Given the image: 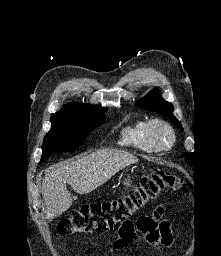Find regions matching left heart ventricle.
<instances>
[{
	"mask_svg": "<svg viewBox=\"0 0 221 256\" xmlns=\"http://www.w3.org/2000/svg\"><path fill=\"white\" fill-rule=\"evenodd\" d=\"M157 138L161 144H168L170 141V135L164 129L157 130Z\"/></svg>",
	"mask_w": 221,
	"mask_h": 256,
	"instance_id": "b2bd125f",
	"label": "left heart ventricle"
}]
</instances>
